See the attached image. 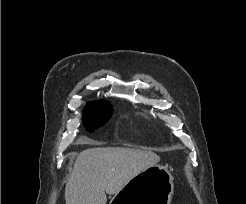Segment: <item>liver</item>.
<instances>
[{"instance_id":"obj_1","label":"liver","mask_w":246,"mask_h":204,"mask_svg":"<svg viewBox=\"0 0 246 204\" xmlns=\"http://www.w3.org/2000/svg\"><path fill=\"white\" fill-rule=\"evenodd\" d=\"M159 161L160 157L148 150L86 149L77 156L66 184V204H106V193H118L134 176Z\"/></svg>"}]
</instances>
